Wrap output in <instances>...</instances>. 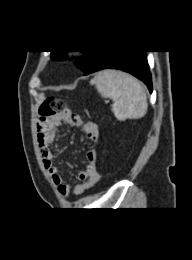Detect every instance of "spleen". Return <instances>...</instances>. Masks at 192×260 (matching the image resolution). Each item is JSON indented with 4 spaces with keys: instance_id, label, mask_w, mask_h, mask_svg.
Instances as JSON below:
<instances>
[{
    "instance_id": "1",
    "label": "spleen",
    "mask_w": 192,
    "mask_h": 260,
    "mask_svg": "<svg viewBox=\"0 0 192 260\" xmlns=\"http://www.w3.org/2000/svg\"><path fill=\"white\" fill-rule=\"evenodd\" d=\"M90 83L103 98L114 101L112 110L119 121L140 119L146 114V92L135 77L121 71L105 70L96 74Z\"/></svg>"
}]
</instances>
